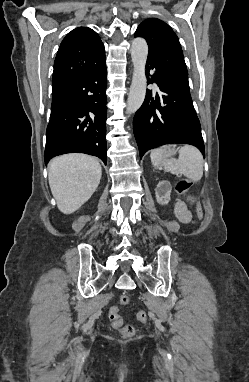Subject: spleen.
<instances>
[{"instance_id":"spleen-1","label":"spleen","mask_w":249,"mask_h":382,"mask_svg":"<svg viewBox=\"0 0 249 382\" xmlns=\"http://www.w3.org/2000/svg\"><path fill=\"white\" fill-rule=\"evenodd\" d=\"M169 150L168 147L157 148L151 151V162L154 167L171 172L183 174L185 177L196 182L203 176L204 160L201 152L192 145H185L179 150L178 159L162 161V156Z\"/></svg>"}]
</instances>
